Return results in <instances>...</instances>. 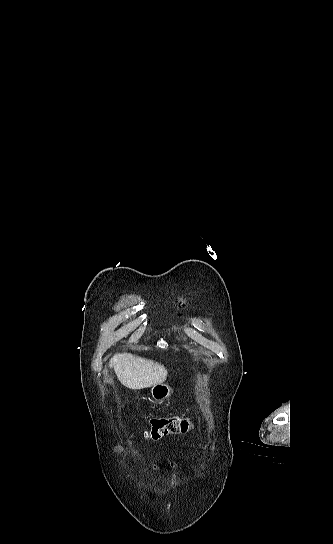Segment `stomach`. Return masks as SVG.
<instances>
[{"label": "stomach", "instance_id": "obj_1", "mask_svg": "<svg viewBox=\"0 0 333 544\" xmlns=\"http://www.w3.org/2000/svg\"><path fill=\"white\" fill-rule=\"evenodd\" d=\"M172 393L170 386L164 383L156 384L151 388V396L155 401L161 402L167 399Z\"/></svg>", "mask_w": 333, "mask_h": 544}]
</instances>
